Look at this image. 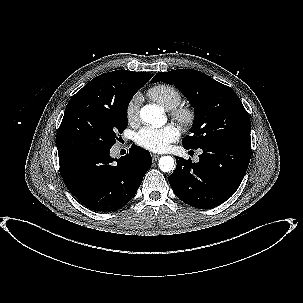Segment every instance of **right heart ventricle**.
Instances as JSON below:
<instances>
[{"label": "right heart ventricle", "mask_w": 303, "mask_h": 303, "mask_svg": "<svg viewBox=\"0 0 303 303\" xmlns=\"http://www.w3.org/2000/svg\"><path fill=\"white\" fill-rule=\"evenodd\" d=\"M148 96L169 111L178 107L182 102L181 93L168 84H159L151 87L148 90Z\"/></svg>", "instance_id": "obj_1"}]
</instances>
